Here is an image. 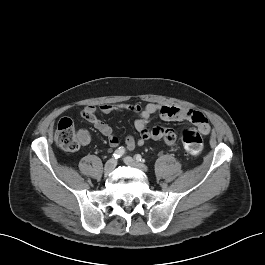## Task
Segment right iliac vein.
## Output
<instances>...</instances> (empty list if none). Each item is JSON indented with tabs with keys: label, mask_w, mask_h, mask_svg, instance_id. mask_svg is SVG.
I'll use <instances>...</instances> for the list:
<instances>
[{
	"label": "right iliac vein",
	"mask_w": 265,
	"mask_h": 265,
	"mask_svg": "<svg viewBox=\"0 0 265 265\" xmlns=\"http://www.w3.org/2000/svg\"><path fill=\"white\" fill-rule=\"evenodd\" d=\"M117 165V161L115 159H110L106 162L105 166H104V173L105 175L110 174L114 168Z\"/></svg>",
	"instance_id": "right-iliac-vein-1"
}]
</instances>
